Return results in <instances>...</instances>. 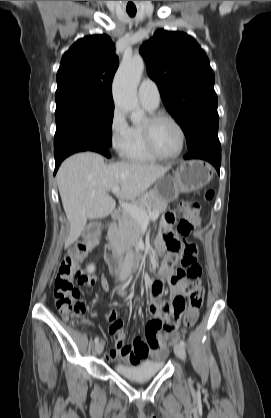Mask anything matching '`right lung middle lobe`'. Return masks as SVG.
<instances>
[{
  "instance_id": "obj_1",
  "label": "right lung middle lobe",
  "mask_w": 271,
  "mask_h": 418,
  "mask_svg": "<svg viewBox=\"0 0 271 418\" xmlns=\"http://www.w3.org/2000/svg\"><path fill=\"white\" fill-rule=\"evenodd\" d=\"M114 103L71 99L56 103L54 149L77 141L101 137L111 146Z\"/></svg>"
}]
</instances>
